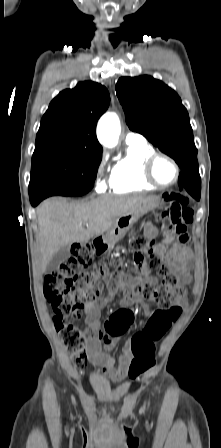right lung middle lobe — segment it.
I'll list each match as a JSON object with an SVG mask.
<instances>
[{
    "mask_svg": "<svg viewBox=\"0 0 221 448\" xmlns=\"http://www.w3.org/2000/svg\"><path fill=\"white\" fill-rule=\"evenodd\" d=\"M102 152L75 145L35 148L29 188L49 187L66 196L89 192L96 178Z\"/></svg>",
    "mask_w": 221,
    "mask_h": 448,
    "instance_id": "right-lung-middle-lobe-1",
    "label": "right lung middle lobe"
}]
</instances>
